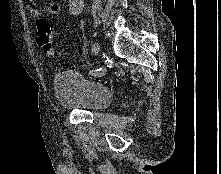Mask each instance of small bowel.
<instances>
[{"instance_id": "small-bowel-1", "label": "small bowel", "mask_w": 221, "mask_h": 174, "mask_svg": "<svg viewBox=\"0 0 221 174\" xmlns=\"http://www.w3.org/2000/svg\"><path fill=\"white\" fill-rule=\"evenodd\" d=\"M27 1L32 2V0H27ZM61 10H62V5L59 2H53V3L49 4L47 7V13L51 16H56V15L60 14ZM29 12L33 18H35L37 20L41 19L40 18L41 10L38 7L31 5L29 7Z\"/></svg>"}]
</instances>
